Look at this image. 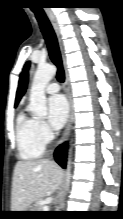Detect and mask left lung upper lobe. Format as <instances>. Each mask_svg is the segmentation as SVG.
<instances>
[{"label": "left lung upper lobe", "instance_id": "5c2ea615", "mask_svg": "<svg viewBox=\"0 0 123 219\" xmlns=\"http://www.w3.org/2000/svg\"><path fill=\"white\" fill-rule=\"evenodd\" d=\"M29 65H30V62H27L24 69H27L29 67Z\"/></svg>", "mask_w": 123, "mask_h": 219}]
</instances>
